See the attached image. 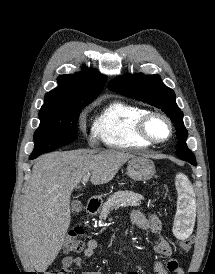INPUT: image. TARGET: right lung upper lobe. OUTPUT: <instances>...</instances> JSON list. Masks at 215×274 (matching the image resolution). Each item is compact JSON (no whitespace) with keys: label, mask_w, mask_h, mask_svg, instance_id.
Returning <instances> with one entry per match:
<instances>
[{"label":"right lung upper lobe","mask_w":215,"mask_h":274,"mask_svg":"<svg viewBox=\"0 0 215 274\" xmlns=\"http://www.w3.org/2000/svg\"><path fill=\"white\" fill-rule=\"evenodd\" d=\"M58 87L45 95L44 103L67 102L85 105L92 102L103 90L106 76L96 70L83 69L75 74L58 77Z\"/></svg>","instance_id":"right-lung-upper-lobe-1"}]
</instances>
